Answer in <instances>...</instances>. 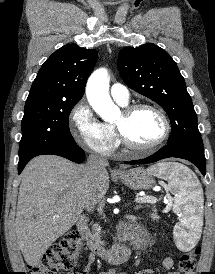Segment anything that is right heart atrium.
Here are the masks:
<instances>
[{
  "label": "right heart atrium",
  "mask_w": 215,
  "mask_h": 274,
  "mask_svg": "<svg viewBox=\"0 0 215 274\" xmlns=\"http://www.w3.org/2000/svg\"><path fill=\"white\" fill-rule=\"evenodd\" d=\"M69 128L74 140L85 149L109 156L116 147V137L100 122L85 100L72 109Z\"/></svg>",
  "instance_id": "right-heart-atrium-1"
}]
</instances>
